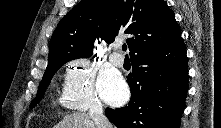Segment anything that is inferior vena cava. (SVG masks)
<instances>
[{"label":"inferior vena cava","instance_id":"inferior-vena-cava-1","mask_svg":"<svg viewBox=\"0 0 221 128\" xmlns=\"http://www.w3.org/2000/svg\"><path fill=\"white\" fill-rule=\"evenodd\" d=\"M88 114L97 128H112L108 119L103 114L102 104L99 101H92Z\"/></svg>","mask_w":221,"mask_h":128}]
</instances>
